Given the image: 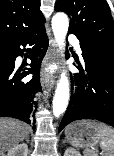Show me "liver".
<instances>
[{"label":"liver","instance_id":"6515ba94","mask_svg":"<svg viewBox=\"0 0 114 156\" xmlns=\"http://www.w3.org/2000/svg\"><path fill=\"white\" fill-rule=\"evenodd\" d=\"M30 127L22 121L0 118V156L28 138Z\"/></svg>","mask_w":114,"mask_h":156}]
</instances>
